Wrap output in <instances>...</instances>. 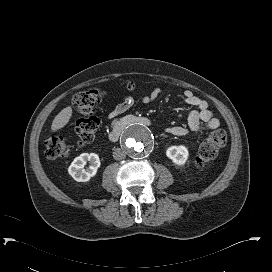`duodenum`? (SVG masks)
<instances>
[{"instance_id":"1","label":"duodenum","mask_w":272,"mask_h":272,"mask_svg":"<svg viewBox=\"0 0 272 272\" xmlns=\"http://www.w3.org/2000/svg\"><path fill=\"white\" fill-rule=\"evenodd\" d=\"M133 120H134L133 118H128V119L120 120L114 123L111 130L108 133L109 140L111 142H116L121 136L124 127L127 124H130Z\"/></svg>"}]
</instances>
